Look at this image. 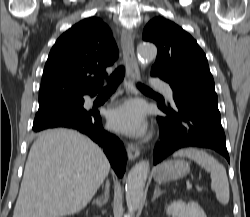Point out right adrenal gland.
<instances>
[{"label": "right adrenal gland", "mask_w": 250, "mask_h": 217, "mask_svg": "<svg viewBox=\"0 0 250 217\" xmlns=\"http://www.w3.org/2000/svg\"><path fill=\"white\" fill-rule=\"evenodd\" d=\"M109 193H110V184L107 181L105 185L104 196H101L100 198H97L96 200H94L93 204H96L98 207H102L108 201Z\"/></svg>", "instance_id": "obj_1"}]
</instances>
